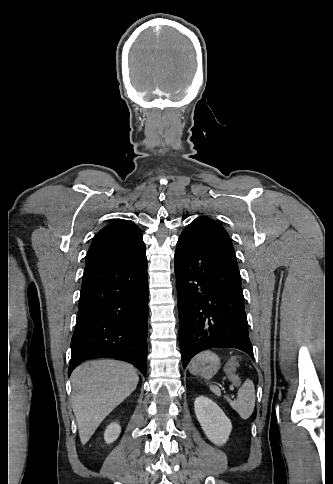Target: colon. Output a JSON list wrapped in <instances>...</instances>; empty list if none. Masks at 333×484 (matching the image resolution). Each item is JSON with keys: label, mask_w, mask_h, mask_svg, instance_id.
Wrapping results in <instances>:
<instances>
[{"label": "colon", "mask_w": 333, "mask_h": 484, "mask_svg": "<svg viewBox=\"0 0 333 484\" xmlns=\"http://www.w3.org/2000/svg\"><path fill=\"white\" fill-rule=\"evenodd\" d=\"M227 376L231 382V384L235 387L240 386L241 381L239 376L237 375V363L235 361H231L226 368Z\"/></svg>", "instance_id": "obj_1"}]
</instances>
